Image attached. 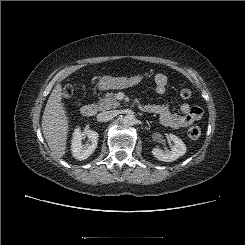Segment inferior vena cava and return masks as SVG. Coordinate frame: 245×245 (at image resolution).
<instances>
[{
  "label": "inferior vena cava",
  "instance_id": "1",
  "mask_svg": "<svg viewBox=\"0 0 245 245\" xmlns=\"http://www.w3.org/2000/svg\"><path fill=\"white\" fill-rule=\"evenodd\" d=\"M116 116L115 111H104L97 115V120L100 122H107Z\"/></svg>",
  "mask_w": 245,
  "mask_h": 245
}]
</instances>
